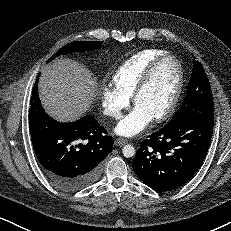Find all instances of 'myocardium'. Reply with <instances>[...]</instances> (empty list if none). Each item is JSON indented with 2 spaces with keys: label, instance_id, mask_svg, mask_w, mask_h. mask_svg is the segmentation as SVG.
<instances>
[{
  "label": "myocardium",
  "instance_id": "f54148a6",
  "mask_svg": "<svg viewBox=\"0 0 231 231\" xmlns=\"http://www.w3.org/2000/svg\"><path fill=\"white\" fill-rule=\"evenodd\" d=\"M165 60H173L176 63L177 82H176V86H175L173 95L171 97V100H170L168 106L166 107V109L161 114H159L158 116L153 118V121L157 122V123L165 121L174 113V111L177 107V104L179 102L180 96L182 94L183 85H184V71H183V67H182L180 60L176 56H174L172 54H168V53H165V54L157 57L156 59H154L148 65L146 70L144 71L141 79L139 80V82H138V84H137V86L134 89V92L132 94V102L134 105H136L139 96L145 90V88L148 86V84L151 81L152 76H153L154 72L156 71L157 67L162 62H164Z\"/></svg>",
  "mask_w": 231,
  "mask_h": 231
}]
</instances>
